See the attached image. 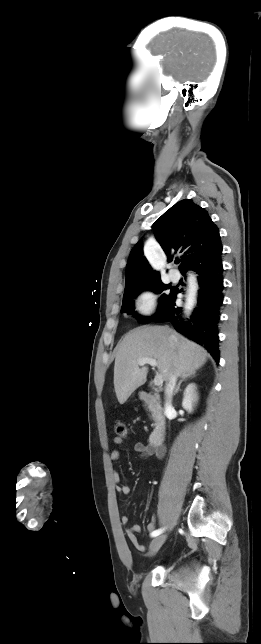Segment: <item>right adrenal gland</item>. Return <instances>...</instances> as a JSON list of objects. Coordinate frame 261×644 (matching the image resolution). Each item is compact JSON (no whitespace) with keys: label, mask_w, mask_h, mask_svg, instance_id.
<instances>
[{"label":"right adrenal gland","mask_w":261,"mask_h":644,"mask_svg":"<svg viewBox=\"0 0 261 644\" xmlns=\"http://www.w3.org/2000/svg\"><path fill=\"white\" fill-rule=\"evenodd\" d=\"M195 376H196V372H193V373H191V374H188V375H184V376H182V379L179 381V383H178V385H177V387H176V389H175V394H177V393H178V391H179V389H180V385H181V383H182L183 381H185V380H187V379H189V378H194Z\"/></svg>","instance_id":"obj_1"}]
</instances>
